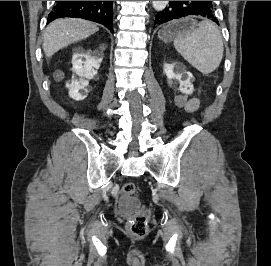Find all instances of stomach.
<instances>
[{
  "instance_id": "0dacf381",
  "label": "stomach",
  "mask_w": 271,
  "mask_h": 266,
  "mask_svg": "<svg viewBox=\"0 0 271 266\" xmlns=\"http://www.w3.org/2000/svg\"><path fill=\"white\" fill-rule=\"evenodd\" d=\"M186 31H187V26L181 25L178 22H173L161 28L158 32V37L160 40L164 42H170L176 36Z\"/></svg>"
}]
</instances>
